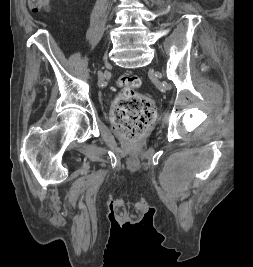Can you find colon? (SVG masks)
I'll use <instances>...</instances> for the list:
<instances>
[{"mask_svg": "<svg viewBox=\"0 0 253 267\" xmlns=\"http://www.w3.org/2000/svg\"><path fill=\"white\" fill-rule=\"evenodd\" d=\"M50 0H29L33 12L48 8ZM121 92L112 110L115 130L131 143H137L151 125L155 113L153 101L137 92L141 80L136 75H121L117 81Z\"/></svg>", "mask_w": 253, "mask_h": 267, "instance_id": "colon-1", "label": "colon"}]
</instances>
